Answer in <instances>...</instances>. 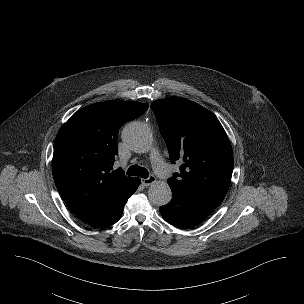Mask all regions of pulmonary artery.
Instances as JSON below:
<instances>
[{"mask_svg": "<svg viewBox=\"0 0 304 304\" xmlns=\"http://www.w3.org/2000/svg\"><path fill=\"white\" fill-rule=\"evenodd\" d=\"M153 166L155 171L162 178L168 177L171 174L169 165L164 161L158 151H155L152 156Z\"/></svg>", "mask_w": 304, "mask_h": 304, "instance_id": "e3ab8cb5", "label": "pulmonary artery"}]
</instances>
